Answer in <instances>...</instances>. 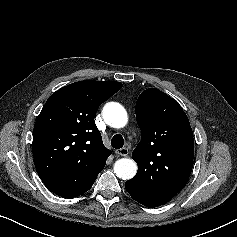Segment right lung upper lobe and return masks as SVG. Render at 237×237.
<instances>
[{
  "label": "right lung upper lobe",
  "mask_w": 237,
  "mask_h": 237,
  "mask_svg": "<svg viewBox=\"0 0 237 237\" xmlns=\"http://www.w3.org/2000/svg\"><path fill=\"white\" fill-rule=\"evenodd\" d=\"M120 82L79 81L54 92L34 125L35 168L56 195L87 192L111 152L94 117L98 107L121 89Z\"/></svg>",
  "instance_id": "1"
}]
</instances>
